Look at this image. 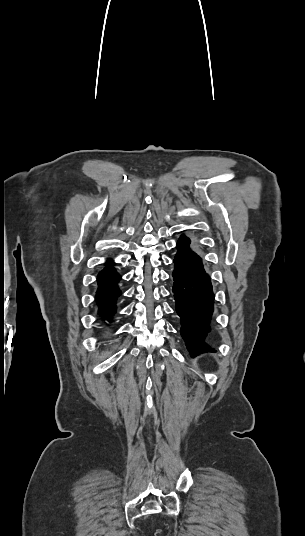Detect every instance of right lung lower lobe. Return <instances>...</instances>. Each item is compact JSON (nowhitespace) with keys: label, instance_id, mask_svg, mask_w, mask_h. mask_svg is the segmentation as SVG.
Wrapping results in <instances>:
<instances>
[{"label":"right lung lower lobe","instance_id":"right-lung-lower-lobe-1","mask_svg":"<svg viewBox=\"0 0 305 536\" xmlns=\"http://www.w3.org/2000/svg\"><path fill=\"white\" fill-rule=\"evenodd\" d=\"M113 263L109 260L105 268L97 276L98 289L96 300L99 307V315L111 317L115 311V303L122 294L118 287L121 275L113 268Z\"/></svg>","mask_w":305,"mask_h":536}]
</instances>
